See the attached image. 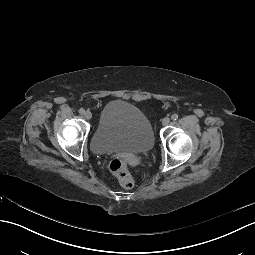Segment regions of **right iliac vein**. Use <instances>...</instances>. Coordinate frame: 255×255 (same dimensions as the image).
Masks as SVG:
<instances>
[{"label":"right iliac vein","instance_id":"63e3f726","mask_svg":"<svg viewBox=\"0 0 255 255\" xmlns=\"http://www.w3.org/2000/svg\"><path fill=\"white\" fill-rule=\"evenodd\" d=\"M84 116H85V118L86 119H91L92 118V113L89 111V110H87L85 113H84Z\"/></svg>","mask_w":255,"mask_h":255}]
</instances>
